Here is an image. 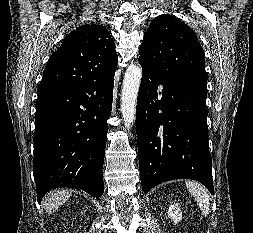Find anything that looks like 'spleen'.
I'll use <instances>...</instances> for the list:
<instances>
[{
	"mask_svg": "<svg viewBox=\"0 0 253 233\" xmlns=\"http://www.w3.org/2000/svg\"><path fill=\"white\" fill-rule=\"evenodd\" d=\"M186 187L195 198L203 216H208L210 211L209 195L206 189L199 183L186 181Z\"/></svg>",
	"mask_w": 253,
	"mask_h": 233,
	"instance_id": "spleen-1",
	"label": "spleen"
}]
</instances>
